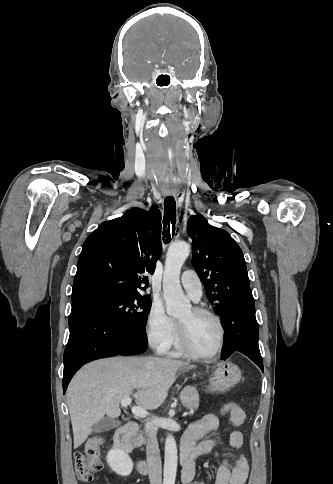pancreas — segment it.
Listing matches in <instances>:
<instances>
[{"mask_svg": "<svg viewBox=\"0 0 333 484\" xmlns=\"http://www.w3.org/2000/svg\"><path fill=\"white\" fill-rule=\"evenodd\" d=\"M180 398L183 406L190 410H196L199 406V395L195 387H185L180 394ZM137 442L139 444L144 443L142 434L137 436Z\"/></svg>", "mask_w": 333, "mask_h": 484, "instance_id": "obj_1", "label": "pancreas"}]
</instances>
